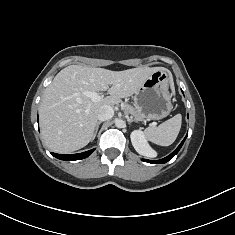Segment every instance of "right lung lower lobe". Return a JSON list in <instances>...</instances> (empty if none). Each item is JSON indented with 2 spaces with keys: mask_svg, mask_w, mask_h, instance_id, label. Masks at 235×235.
<instances>
[{
  "mask_svg": "<svg viewBox=\"0 0 235 235\" xmlns=\"http://www.w3.org/2000/svg\"><path fill=\"white\" fill-rule=\"evenodd\" d=\"M93 151H94V149L83 152V153L72 154V155L56 154V153H52V155L60 160L72 161V160L84 159V158L88 157Z\"/></svg>",
  "mask_w": 235,
  "mask_h": 235,
  "instance_id": "1",
  "label": "right lung lower lobe"
}]
</instances>
